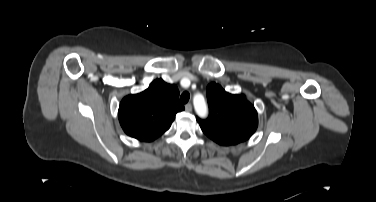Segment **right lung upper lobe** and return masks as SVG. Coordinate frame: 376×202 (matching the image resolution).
I'll return each mask as SVG.
<instances>
[{
    "instance_id": "cb5924a9",
    "label": "right lung upper lobe",
    "mask_w": 376,
    "mask_h": 202,
    "mask_svg": "<svg viewBox=\"0 0 376 202\" xmlns=\"http://www.w3.org/2000/svg\"><path fill=\"white\" fill-rule=\"evenodd\" d=\"M174 84L154 80L143 92L124 97L118 118L124 132L140 141L150 142L167 131L176 113L183 111Z\"/></svg>"
}]
</instances>
